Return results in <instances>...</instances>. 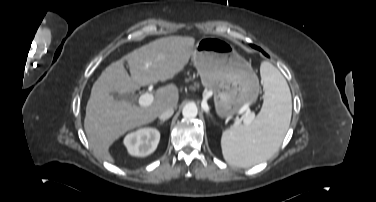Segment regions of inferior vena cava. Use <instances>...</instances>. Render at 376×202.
<instances>
[{
    "mask_svg": "<svg viewBox=\"0 0 376 202\" xmlns=\"http://www.w3.org/2000/svg\"><path fill=\"white\" fill-rule=\"evenodd\" d=\"M173 113H174L173 108H167L163 112H161L158 117L161 121H165L169 119L173 115Z\"/></svg>",
    "mask_w": 376,
    "mask_h": 202,
    "instance_id": "602c4592",
    "label": "inferior vena cava"
}]
</instances>
